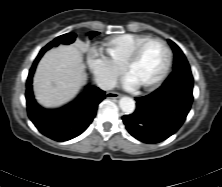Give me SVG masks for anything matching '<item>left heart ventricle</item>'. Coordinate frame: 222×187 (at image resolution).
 <instances>
[{
    "label": "left heart ventricle",
    "instance_id": "1",
    "mask_svg": "<svg viewBox=\"0 0 222 187\" xmlns=\"http://www.w3.org/2000/svg\"><path fill=\"white\" fill-rule=\"evenodd\" d=\"M167 53L164 46L152 42L145 46L138 61L131 67L129 77L136 84L154 81L164 70Z\"/></svg>",
    "mask_w": 222,
    "mask_h": 187
}]
</instances>
